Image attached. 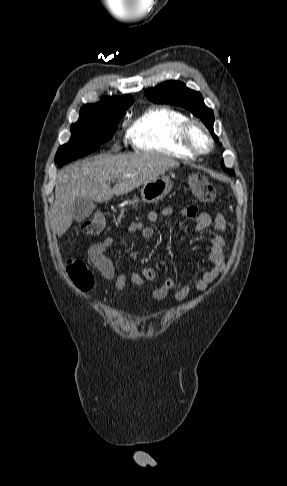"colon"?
I'll use <instances>...</instances> for the list:
<instances>
[{
	"instance_id": "colon-1",
	"label": "colon",
	"mask_w": 287,
	"mask_h": 486,
	"mask_svg": "<svg viewBox=\"0 0 287 486\" xmlns=\"http://www.w3.org/2000/svg\"><path fill=\"white\" fill-rule=\"evenodd\" d=\"M192 194L201 202L212 203L216 200L217 192L212 182L205 176L192 175L189 180ZM105 228V219L95 214L82 224V232L86 235H98ZM67 271L74 284L81 290H89L94 284V277L88 266L81 260L71 259L67 264Z\"/></svg>"
}]
</instances>
